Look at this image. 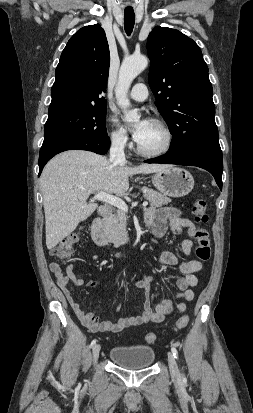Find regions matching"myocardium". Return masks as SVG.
<instances>
[{
	"label": "myocardium",
	"instance_id": "f54148a6",
	"mask_svg": "<svg viewBox=\"0 0 253 413\" xmlns=\"http://www.w3.org/2000/svg\"><path fill=\"white\" fill-rule=\"evenodd\" d=\"M152 122L156 124L163 131L165 135V142L161 148L154 150V151L144 150L137 143L136 144L137 153L145 157H158L163 154H166L171 149L173 140H174L173 132L171 128L169 127V125L164 120L154 118L152 119Z\"/></svg>",
	"mask_w": 253,
	"mask_h": 413
}]
</instances>
